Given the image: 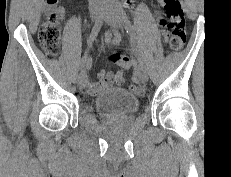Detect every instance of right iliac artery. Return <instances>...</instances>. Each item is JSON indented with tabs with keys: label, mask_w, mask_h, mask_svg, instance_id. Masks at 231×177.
I'll use <instances>...</instances> for the list:
<instances>
[{
	"label": "right iliac artery",
	"mask_w": 231,
	"mask_h": 177,
	"mask_svg": "<svg viewBox=\"0 0 231 177\" xmlns=\"http://www.w3.org/2000/svg\"><path fill=\"white\" fill-rule=\"evenodd\" d=\"M103 24V16L101 15L95 22L93 28H92V32L90 35V38L88 40V48H90L92 46L93 41L95 40V38L97 37L101 26ZM88 65V61H87V57L86 55L82 58L81 62H80V70L84 71L85 67Z\"/></svg>",
	"instance_id": "82829eb1"
}]
</instances>
